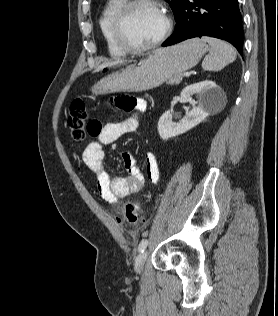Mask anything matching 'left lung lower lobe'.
<instances>
[{
    "instance_id": "1",
    "label": "left lung lower lobe",
    "mask_w": 278,
    "mask_h": 316,
    "mask_svg": "<svg viewBox=\"0 0 278 316\" xmlns=\"http://www.w3.org/2000/svg\"><path fill=\"white\" fill-rule=\"evenodd\" d=\"M176 28L162 46L211 36L230 42L242 55L244 32L237 0H183Z\"/></svg>"
}]
</instances>
